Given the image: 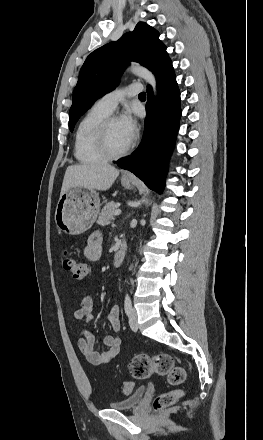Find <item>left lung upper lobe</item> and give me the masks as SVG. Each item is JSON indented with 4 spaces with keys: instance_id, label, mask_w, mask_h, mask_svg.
I'll return each instance as SVG.
<instances>
[{
    "instance_id": "left-lung-upper-lobe-1",
    "label": "left lung upper lobe",
    "mask_w": 263,
    "mask_h": 440,
    "mask_svg": "<svg viewBox=\"0 0 263 440\" xmlns=\"http://www.w3.org/2000/svg\"><path fill=\"white\" fill-rule=\"evenodd\" d=\"M135 61L150 69H157L171 62L159 33L144 22H139L134 31L125 34L117 42L108 43L93 51L85 60L73 92L70 108L69 128L95 100L113 90L119 75Z\"/></svg>"
}]
</instances>
